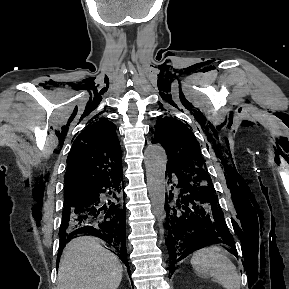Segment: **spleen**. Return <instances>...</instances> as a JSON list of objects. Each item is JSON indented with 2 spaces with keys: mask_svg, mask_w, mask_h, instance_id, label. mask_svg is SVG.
<instances>
[{
  "mask_svg": "<svg viewBox=\"0 0 289 289\" xmlns=\"http://www.w3.org/2000/svg\"><path fill=\"white\" fill-rule=\"evenodd\" d=\"M191 264L203 278H213L224 289H240V277L227 252L213 245L196 251Z\"/></svg>",
  "mask_w": 289,
  "mask_h": 289,
  "instance_id": "obj_1",
  "label": "spleen"
}]
</instances>
